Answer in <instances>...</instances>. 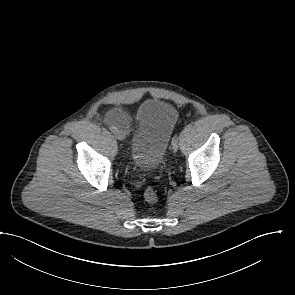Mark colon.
Here are the masks:
<instances>
[{"instance_id":"1","label":"colon","mask_w":295,"mask_h":295,"mask_svg":"<svg viewBox=\"0 0 295 295\" xmlns=\"http://www.w3.org/2000/svg\"><path fill=\"white\" fill-rule=\"evenodd\" d=\"M144 198L149 203H155L158 197L156 191L153 188L148 187L144 191Z\"/></svg>"}]
</instances>
